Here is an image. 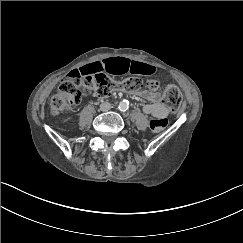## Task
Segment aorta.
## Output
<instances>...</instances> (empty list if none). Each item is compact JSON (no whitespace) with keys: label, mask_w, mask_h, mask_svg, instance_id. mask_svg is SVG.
<instances>
[{"label":"aorta","mask_w":243,"mask_h":243,"mask_svg":"<svg viewBox=\"0 0 243 243\" xmlns=\"http://www.w3.org/2000/svg\"><path fill=\"white\" fill-rule=\"evenodd\" d=\"M119 109L120 110H127L128 109V103H127V101H121L120 103H119Z\"/></svg>","instance_id":"obj_1"}]
</instances>
